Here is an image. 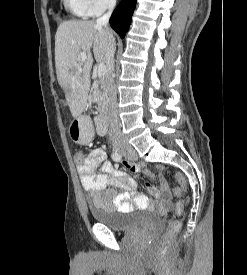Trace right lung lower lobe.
Wrapping results in <instances>:
<instances>
[{
    "label": "right lung lower lobe",
    "instance_id": "98d812e1",
    "mask_svg": "<svg viewBox=\"0 0 247 275\" xmlns=\"http://www.w3.org/2000/svg\"><path fill=\"white\" fill-rule=\"evenodd\" d=\"M135 6L136 0H122L111 15L110 25L121 38L125 37L130 26Z\"/></svg>",
    "mask_w": 247,
    "mask_h": 275
}]
</instances>
